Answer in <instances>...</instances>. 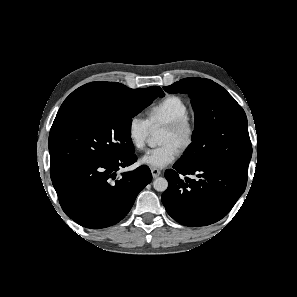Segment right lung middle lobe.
Returning a JSON list of instances; mask_svg holds the SVG:
<instances>
[{"instance_id": "right-lung-middle-lobe-1", "label": "right lung middle lobe", "mask_w": 297, "mask_h": 297, "mask_svg": "<svg viewBox=\"0 0 297 297\" xmlns=\"http://www.w3.org/2000/svg\"><path fill=\"white\" fill-rule=\"evenodd\" d=\"M164 94L157 87L117 93L57 115L49 134L50 173L79 161L134 153L132 118Z\"/></svg>"}]
</instances>
